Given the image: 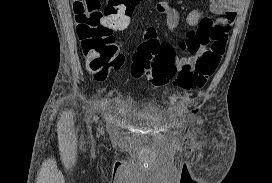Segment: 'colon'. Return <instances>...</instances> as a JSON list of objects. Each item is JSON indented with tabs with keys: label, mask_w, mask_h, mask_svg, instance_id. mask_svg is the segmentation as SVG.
I'll return each mask as SVG.
<instances>
[{
	"label": "colon",
	"mask_w": 272,
	"mask_h": 183,
	"mask_svg": "<svg viewBox=\"0 0 272 183\" xmlns=\"http://www.w3.org/2000/svg\"><path fill=\"white\" fill-rule=\"evenodd\" d=\"M139 0H109L104 10L99 0H75L73 13L76 33L88 70L103 77L111 69H119L124 57L115 43L114 31L124 29ZM225 38L214 39L194 67L178 69L173 46L164 41H144L133 56L131 73L135 78L146 76L153 87L172 83L190 91L201 89L216 71L225 52Z\"/></svg>",
	"instance_id": "5ec220e1"
}]
</instances>
